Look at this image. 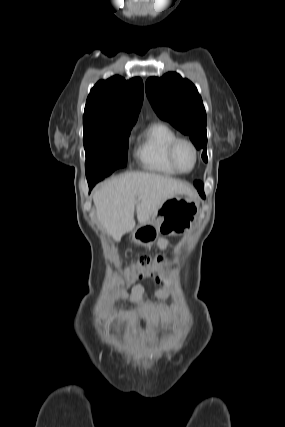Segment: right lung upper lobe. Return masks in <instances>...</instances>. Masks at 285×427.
<instances>
[{"label":"right lung upper lobe","mask_w":285,"mask_h":427,"mask_svg":"<svg viewBox=\"0 0 285 427\" xmlns=\"http://www.w3.org/2000/svg\"><path fill=\"white\" fill-rule=\"evenodd\" d=\"M143 101V82L139 77L125 81L120 76L100 80L91 89L83 124H135Z\"/></svg>","instance_id":"cb5924a9"}]
</instances>
